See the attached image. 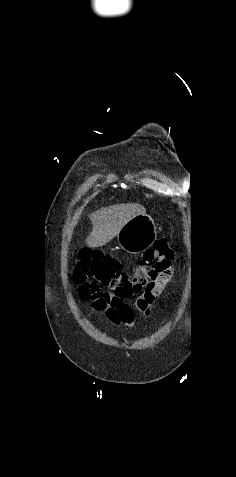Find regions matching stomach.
<instances>
[{"label":"stomach","instance_id":"obj_1","mask_svg":"<svg viewBox=\"0 0 236 477\" xmlns=\"http://www.w3.org/2000/svg\"><path fill=\"white\" fill-rule=\"evenodd\" d=\"M157 228L151 216L141 214L131 218L117 235L119 246L130 254H139L152 246Z\"/></svg>","mask_w":236,"mask_h":477}]
</instances>
